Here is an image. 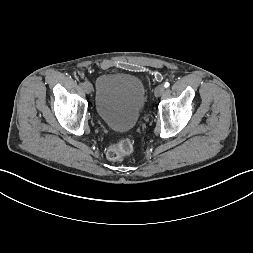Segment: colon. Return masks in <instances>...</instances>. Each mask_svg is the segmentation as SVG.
<instances>
[{
    "label": "colon",
    "mask_w": 253,
    "mask_h": 253,
    "mask_svg": "<svg viewBox=\"0 0 253 253\" xmlns=\"http://www.w3.org/2000/svg\"><path fill=\"white\" fill-rule=\"evenodd\" d=\"M134 150V143L129 139H123L111 145L107 150V158L112 162H119Z\"/></svg>",
    "instance_id": "obj_1"
}]
</instances>
